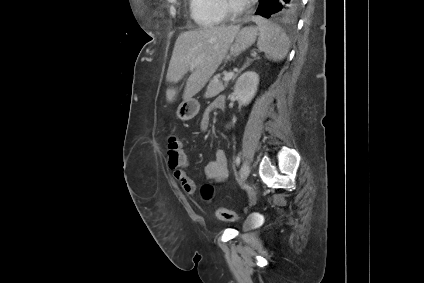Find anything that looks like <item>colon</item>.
<instances>
[{
  "instance_id": "obj_1",
  "label": "colon",
  "mask_w": 424,
  "mask_h": 283,
  "mask_svg": "<svg viewBox=\"0 0 424 283\" xmlns=\"http://www.w3.org/2000/svg\"><path fill=\"white\" fill-rule=\"evenodd\" d=\"M181 144L176 136L169 135L167 143V154L170 158V165L175 167L183 163L182 155L180 154ZM213 193V187L210 184H205L202 186V194L204 197L209 198ZM216 216L222 221H234L236 219L235 213L225 208H218L216 210Z\"/></svg>"
}]
</instances>
